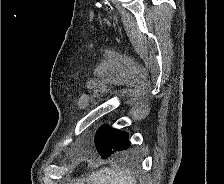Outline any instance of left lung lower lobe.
Segmentation results:
<instances>
[{"instance_id":"obj_1","label":"left lung lower lobe","mask_w":224,"mask_h":184,"mask_svg":"<svg viewBox=\"0 0 224 184\" xmlns=\"http://www.w3.org/2000/svg\"><path fill=\"white\" fill-rule=\"evenodd\" d=\"M130 144L127 133L109 128L107 125L101 126L95 135L96 149L104 159L117 151L128 149Z\"/></svg>"}]
</instances>
